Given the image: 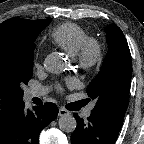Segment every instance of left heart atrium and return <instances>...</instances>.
I'll return each mask as SVG.
<instances>
[{
    "instance_id": "obj_1",
    "label": "left heart atrium",
    "mask_w": 144,
    "mask_h": 144,
    "mask_svg": "<svg viewBox=\"0 0 144 144\" xmlns=\"http://www.w3.org/2000/svg\"><path fill=\"white\" fill-rule=\"evenodd\" d=\"M68 84H71V81L68 82ZM60 90H62V88L60 87Z\"/></svg>"
}]
</instances>
